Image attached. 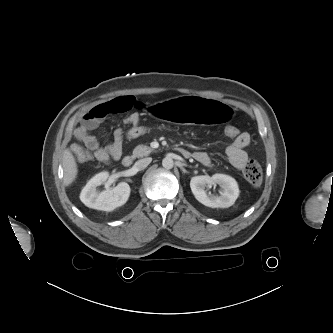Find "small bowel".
I'll list each match as a JSON object with an SVG mask.
<instances>
[{"instance_id": "obj_1", "label": "small bowel", "mask_w": 333, "mask_h": 333, "mask_svg": "<svg viewBox=\"0 0 333 333\" xmlns=\"http://www.w3.org/2000/svg\"><path fill=\"white\" fill-rule=\"evenodd\" d=\"M142 107L143 104L135 97L121 96L90 108L82 115L80 125L75 130V136L82 146L75 145L73 150L81 149L91 155L92 158L103 163H108L111 159H120L123 154V128H117L114 131L113 139L104 146L91 134V131L96 129L106 117L113 114L129 113L124 119L126 126L139 122L140 116L138 111ZM249 143V134L243 132L237 138L233 139L232 143L227 147V158L235 168L241 170L247 163L248 155L245 149ZM192 156L205 166L211 164V159L205 152H195Z\"/></svg>"}]
</instances>
